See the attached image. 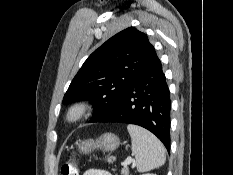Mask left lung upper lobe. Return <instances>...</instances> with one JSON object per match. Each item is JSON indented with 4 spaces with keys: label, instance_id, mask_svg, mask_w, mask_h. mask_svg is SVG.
<instances>
[{
    "label": "left lung upper lobe",
    "instance_id": "left-lung-upper-lobe-1",
    "mask_svg": "<svg viewBox=\"0 0 233 175\" xmlns=\"http://www.w3.org/2000/svg\"><path fill=\"white\" fill-rule=\"evenodd\" d=\"M155 54L147 36L134 27L127 28L96 49L72 80L63 103L91 100L90 122H97L119 102Z\"/></svg>",
    "mask_w": 233,
    "mask_h": 175
}]
</instances>
